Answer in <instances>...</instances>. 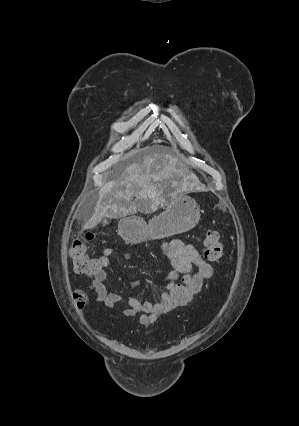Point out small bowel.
<instances>
[{
	"instance_id": "obj_1",
	"label": "small bowel",
	"mask_w": 299,
	"mask_h": 426,
	"mask_svg": "<svg viewBox=\"0 0 299 426\" xmlns=\"http://www.w3.org/2000/svg\"><path fill=\"white\" fill-rule=\"evenodd\" d=\"M162 250L165 257L170 261L172 270L163 279L164 290L159 294L157 302L142 301L132 295L123 297L116 292L107 290L104 284L107 276L105 269L108 267L109 258L114 252L111 247L104 249L98 258L101 269L91 280L97 300L103 302L108 309H112L117 304H124L126 305L123 312L124 316L133 317L142 313L139 323L149 325L154 323L159 316L173 311L165 307L162 295L176 285L180 276H190L193 282V297L198 294L204 281L212 277V266L202 257L195 246L186 244L179 239L164 243ZM139 284L138 280L132 282L133 287H137Z\"/></svg>"
}]
</instances>
